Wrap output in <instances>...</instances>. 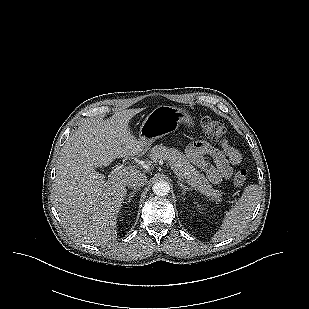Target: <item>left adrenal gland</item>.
I'll return each mask as SVG.
<instances>
[{
    "label": "left adrenal gland",
    "mask_w": 309,
    "mask_h": 309,
    "mask_svg": "<svg viewBox=\"0 0 309 309\" xmlns=\"http://www.w3.org/2000/svg\"><path fill=\"white\" fill-rule=\"evenodd\" d=\"M178 185L181 187L184 196L186 195V191H190V188L184 185L181 179L178 180Z\"/></svg>",
    "instance_id": "1"
}]
</instances>
